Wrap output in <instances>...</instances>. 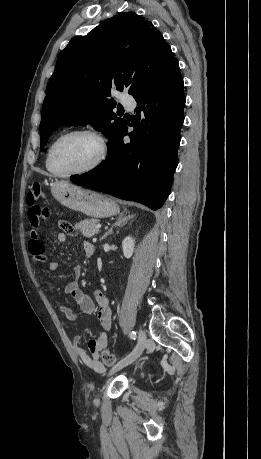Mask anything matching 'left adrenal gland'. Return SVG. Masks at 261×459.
Returning <instances> with one entry per match:
<instances>
[{"label": "left adrenal gland", "instance_id": "left-adrenal-gland-1", "mask_svg": "<svg viewBox=\"0 0 261 459\" xmlns=\"http://www.w3.org/2000/svg\"><path fill=\"white\" fill-rule=\"evenodd\" d=\"M132 218H133V215H127V216H126V214H123V213L120 214V215L116 218V220H115L114 224L111 226V228L101 237L100 240H103V239H105L108 235H111V234L113 233L114 227H121V226L125 225V224H126L130 219H132Z\"/></svg>", "mask_w": 261, "mask_h": 459}]
</instances>
